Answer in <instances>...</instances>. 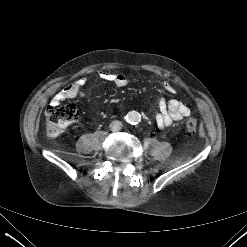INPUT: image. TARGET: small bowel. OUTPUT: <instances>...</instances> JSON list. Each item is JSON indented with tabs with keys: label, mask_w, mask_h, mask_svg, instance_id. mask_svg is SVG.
Segmentation results:
<instances>
[{
	"label": "small bowel",
	"mask_w": 247,
	"mask_h": 247,
	"mask_svg": "<svg viewBox=\"0 0 247 247\" xmlns=\"http://www.w3.org/2000/svg\"><path fill=\"white\" fill-rule=\"evenodd\" d=\"M99 77L102 80L113 83L118 88L125 87L129 83L128 78L120 73L100 71ZM85 83V79L81 78L75 83L67 86L53 97L52 103L59 104L61 101L66 99L85 97L87 95V92L83 90ZM161 86L165 91L175 93V88L170 83L162 82ZM190 113V108L179 100L172 99L166 101L165 99H161L159 102V113L156 115L155 120L158 127L164 128L170 126L173 122L180 121L183 118L188 117Z\"/></svg>",
	"instance_id": "obj_1"
}]
</instances>
